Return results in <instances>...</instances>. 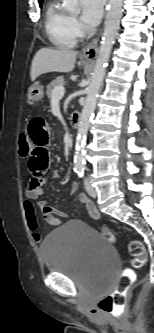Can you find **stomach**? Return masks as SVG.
I'll list each match as a JSON object with an SVG mask.
<instances>
[{
  "label": "stomach",
  "mask_w": 154,
  "mask_h": 333,
  "mask_svg": "<svg viewBox=\"0 0 154 333\" xmlns=\"http://www.w3.org/2000/svg\"><path fill=\"white\" fill-rule=\"evenodd\" d=\"M43 96H44V89L39 82H35L29 87L27 98L31 102H38L43 98Z\"/></svg>",
  "instance_id": "1"
}]
</instances>
